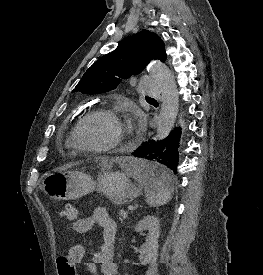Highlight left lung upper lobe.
I'll list each match as a JSON object with an SVG mask.
<instances>
[{
  "label": "left lung upper lobe",
  "mask_w": 263,
  "mask_h": 275,
  "mask_svg": "<svg viewBox=\"0 0 263 275\" xmlns=\"http://www.w3.org/2000/svg\"><path fill=\"white\" fill-rule=\"evenodd\" d=\"M152 59L166 61L164 42L155 33L142 30L97 60L85 72L73 92L98 94L111 91L123 79L141 73Z\"/></svg>",
  "instance_id": "5c2ea615"
}]
</instances>
